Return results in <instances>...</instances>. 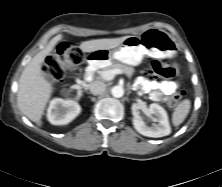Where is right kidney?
<instances>
[{"instance_id":"ca27d5eb","label":"right kidney","mask_w":222,"mask_h":187,"mask_svg":"<svg viewBox=\"0 0 222 187\" xmlns=\"http://www.w3.org/2000/svg\"><path fill=\"white\" fill-rule=\"evenodd\" d=\"M81 111L80 105L70 99H53L47 110V119L53 125H65L71 122Z\"/></svg>"}]
</instances>
